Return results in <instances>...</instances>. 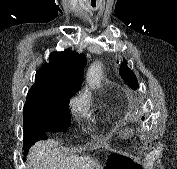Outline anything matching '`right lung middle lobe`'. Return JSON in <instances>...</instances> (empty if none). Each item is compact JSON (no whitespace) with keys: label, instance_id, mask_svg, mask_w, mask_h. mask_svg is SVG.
<instances>
[{"label":"right lung middle lobe","instance_id":"right-lung-middle-lobe-1","mask_svg":"<svg viewBox=\"0 0 177 169\" xmlns=\"http://www.w3.org/2000/svg\"><path fill=\"white\" fill-rule=\"evenodd\" d=\"M68 105L69 99L52 103H25L24 128L45 132L66 131L71 126Z\"/></svg>","mask_w":177,"mask_h":169}]
</instances>
